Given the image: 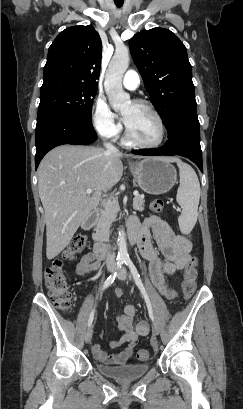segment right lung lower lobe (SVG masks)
Wrapping results in <instances>:
<instances>
[{
    "label": "right lung lower lobe",
    "mask_w": 243,
    "mask_h": 409,
    "mask_svg": "<svg viewBox=\"0 0 243 409\" xmlns=\"http://www.w3.org/2000/svg\"><path fill=\"white\" fill-rule=\"evenodd\" d=\"M96 139L97 135L91 123L62 116L44 118L36 125V169L44 155L52 148L63 144L88 145Z\"/></svg>",
    "instance_id": "obj_1"
}]
</instances>
